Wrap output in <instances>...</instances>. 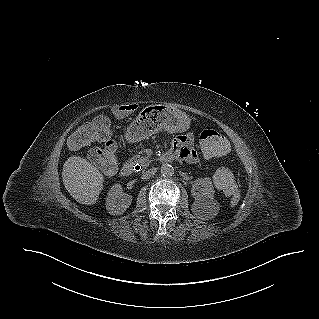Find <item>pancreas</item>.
I'll return each mask as SVG.
<instances>
[{
	"instance_id": "pancreas-1",
	"label": "pancreas",
	"mask_w": 319,
	"mask_h": 319,
	"mask_svg": "<svg viewBox=\"0 0 319 319\" xmlns=\"http://www.w3.org/2000/svg\"><path fill=\"white\" fill-rule=\"evenodd\" d=\"M133 162L136 164H139L140 166H142L143 168H146L149 166L151 159L147 156L145 157H140V156H134L132 158Z\"/></svg>"
}]
</instances>
